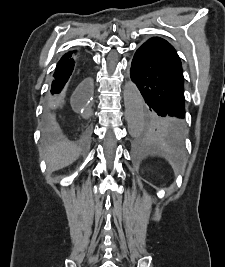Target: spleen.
Returning a JSON list of instances; mask_svg holds the SVG:
<instances>
[{"label": "spleen", "instance_id": "obj_1", "mask_svg": "<svg viewBox=\"0 0 225 267\" xmlns=\"http://www.w3.org/2000/svg\"><path fill=\"white\" fill-rule=\"evenodd\" d=\"M171 165H172V168H173L176 172H181L180 169H179V167H178L176 164L172 163Z\"/></svg>", "mask_w": 225, "mask_h": 267}]
</instances>
